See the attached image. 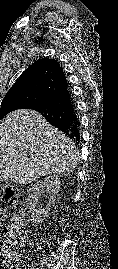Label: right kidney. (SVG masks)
Returning a JSON list of instances; mask_svg holds the SVG:
<instances>
[{
  "instance_id": "ca27d5eb",
  "label": "right kidney",
  "mask_w": 118,
  "mask_h": 269,
  "mask_svg": "<svg viewBox=\"0 0 118 269\" xmlns=\"http://www.w3.org/2000/svg\"><path fill=\"white\" fill-rule=\"evenodd\" d=\"M60 184L61 181L59 176L52 175L33 184L32 187L28 190L26 207L29 210L30 221L33 224H39L45 220L51 205L55 202ZM43 193H46L48 201L45 206H39L38 202Z\"/></svg>"
}]
</instances>
